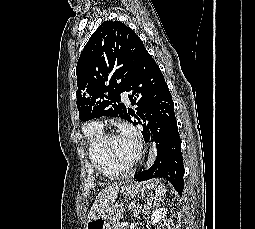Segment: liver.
I'll list each match as a JSON object with an SVG mask.
<instances>
[{
  "label": "liver",
  "mask_w": 255,
  "mask_h": 229,
  "mask_svg": "<svg viewBox=\"0 0 255 229\" xmlns=\"http://www.w3.org/2000/svg\"><path fill=\"white\" fill-rule=\"evenodd\" d=\"M120 185L121 183H114L98 193L88 214V220L96 217L108 207L112 206L118 196Z\"/></svg>",
  "instance_id": "6515ba94"
}]
</instances>
